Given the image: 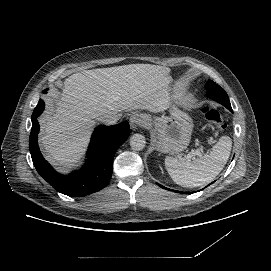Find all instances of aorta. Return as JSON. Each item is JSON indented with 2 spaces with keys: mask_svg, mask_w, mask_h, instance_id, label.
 <instances>
[{
  "mask_svg": "<svg viewBox=\"0 0 271 271\" xmlns=\"http://www.w3.org/2000/svg\"><path fill=\"white\" fill-rule=\"evenodd\" d=\"M146 140L141 134H134L130 138V146L133 150L140 151L145 147Z\"/></svg>",
  "mask_w": 271,
  "mask_h": 271,
  "instance_id": "obj_1",
  "label": "aorta"
}]
</instances>
